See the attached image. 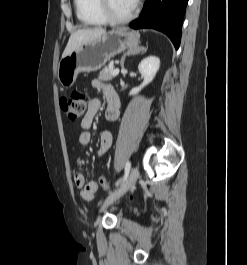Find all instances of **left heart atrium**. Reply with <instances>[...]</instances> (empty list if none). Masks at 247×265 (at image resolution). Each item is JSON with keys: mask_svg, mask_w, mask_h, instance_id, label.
<instances>
[{"mask_svg": "<svg viewBox=\"0 0 247 265\" xmlns=\"http://www.w3.org/2000/svg\"><path fill=\"white\" fill-rule=\"evenodd\" d=\"M134 3L137 2L138 0H132Z\"/></svg>", "mask_w": 247, "mask_h": 265, "instance_id": "39dd6f15", "label": "left heart atrium"}]
</instances>
